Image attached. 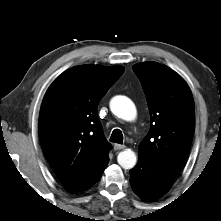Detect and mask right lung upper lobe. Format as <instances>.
I'll return each mask as SVG.
<instances>
[{"instance_id":"obj_1","label":"right lung upper lobe","mask_w":221,"mask_h":221,"mask_svg":"<svg viewBox=\"0 0 221 221\" xmlns=\"http://www.w3.org/2000/svg\"><path fill=\"white\" fill-rule=\"evenodd\" d=\"M124 68L83 65L63 72L48 88L39 115L43 152L60 182L80 191L96 183L108 164L97 106Z\"/></svg>"}]
</instances>
